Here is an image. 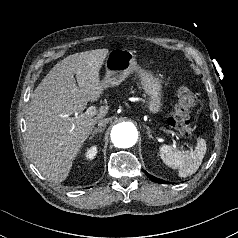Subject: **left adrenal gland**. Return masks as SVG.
Masks as SVG:
<instances>
[{"mask_svg": "<svg viewBox=\"0 0 238 238\" xmlns=\"http://www.w3.org/2000/svg\"><path fill=\"white\" fill-rule=\"evenodd\" d=\"M144 127H145L146 130H147V134H148L149 139H153V136H152V134H151L150 128H149L148 126H146V125H144Z\"/></svg>", "mask_w": 238, "mask_h": 238, "instance_id": "1", "label": "left adrenal gland"}]
</instances>
